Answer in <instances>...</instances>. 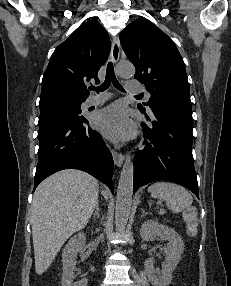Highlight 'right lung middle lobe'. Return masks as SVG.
Here are the masks:
<instances>
[{"label": "right lung middle lobe", "instance_id": "right-lung-middle-lobe-1", "mask_svg": "<svg viewBox=\"0 0 231 286\" xmlns=\"http://www.w3.org/2000/svg\"><path fill=\"white\" fill-rule=\"evenodd\" d=\"M83 101H67L40 107L39 128L65 119L84 118L81 115Z\"/></svg>", "mask_w": 231, "mask_h": 286}]
</instances>
